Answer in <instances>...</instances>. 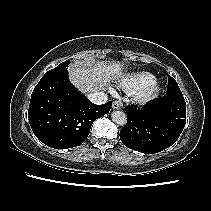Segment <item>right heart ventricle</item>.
I'll return each instance as SVG.
<instances>
[{
    "label": "right heart ventricle",
    "mask_w": 211,
    "mask_h": 211,
    "mask_svg": "<svg viewBox=\"0 0 211 211\" xmlns=\"http://www.w3.org/2000/svg\"><path fill=\"white\" fill-rule=\"evenodd\" d=\"M156 81V77L150 72H137L125 75L119 82L127 93L136 94L148 84Z\"/></svg>",
    "instance_id": "right-heart-ventricle-1"
}]
</instances>
